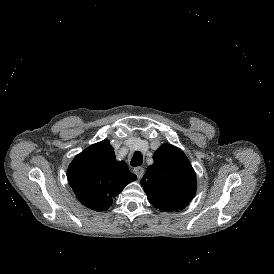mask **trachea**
Returning <instances> with one entry per match:
<instances>
[{
	"mask_svg": "<svg viewBox=\"0 0 274 274\" xmlns=\"http://www.w3.org/2000/svg\"><path fill=\"white\" fill-rule=\"evenodd\" d=\"M143 163V155L141 152L136 151L130 161V165L133 167H138Z\"/></svg>",
	"mask_w": 274,
	"mask_h": 274,
	"instance_id": "3493384b",
	"label": "trachea"
}]
</instances>
